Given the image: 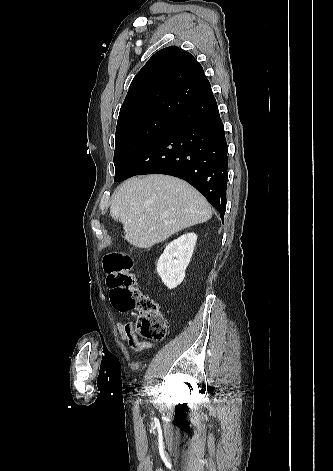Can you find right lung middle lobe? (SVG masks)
<instances>
[{
    "instance_id": "right-lung-middle-lobe-1",
    "label": "right lung middle lobe",
    "mask_w": 333,
    "mask_h": 471,
    "mask_svg": "<svg viewBox=\"0 0 333 471\" xmlns=\"http://www.w3.org/2000/svg\"><path fill=\"white\" fill-rule=\"evenodd\" d=\"M175 116L142 113L118 119L115 135L116 182L143 149L174 120Z\"/></svg>"
}]
</instances>
